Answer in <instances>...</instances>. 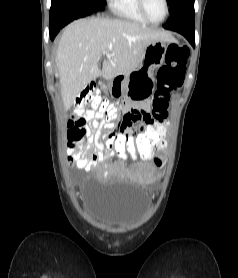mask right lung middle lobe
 Here are the masks:
<instances>
[{
  "mask_svg": "<svg viewBox=\"0 0 238 278\" xmlns=\"http://www.w3.org/2000/svg\"><path fill=\"white\" fill-rule=\"evenodd\" d=\"M79 2H82L88 6H90L93 9L96 10H104L105 8V0H77Z\"/></svg>",
  "mask_w": 238,
  "mask_h": 278,
  "instance_id": "1",
  "label": "right lung middle lobe"
}]
</instances>
